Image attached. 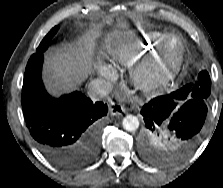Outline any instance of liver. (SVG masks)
I'll use <instances>...</instances> for the list:
<instances>
[{
	"instance_id": "liver-1",
	"label": "liver",
	"mask_w": 223,
	"mask_h": 188,
	"mask_svg": "<svg viewBox=\"0 0 223 188\" xmlns=\"http://www.w3.org/2000/svg\"><path fill=\"white\" fill-rule=\"evenodd\" d=\"M97 30L81 36L74 44L46 54L45 82L52 92L68 91L79 85L92 68Z\"/></svg>"
}]
</instances>
